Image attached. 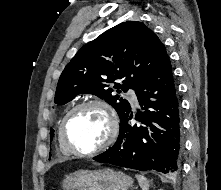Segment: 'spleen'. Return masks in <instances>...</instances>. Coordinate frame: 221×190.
Segmentation results:
<instances>
[{"instance_id": "spleen-1", "label": "spleen", "mask_w": 221, "mask_h": 190, "mask_svg": "<svg viewBox=\"0 0 221 190\" xmlns=\"http://www.w3.org/2000/svg\"><path fill=\"white\" fill-rule=\"evenodd\" d=\"M136 178H137L138 183H139L140 187L142 188V190H148L149 182H148L147 178L144 177L143 175H136Z\"/></svg>"}]
</instances>
